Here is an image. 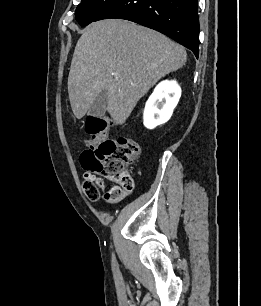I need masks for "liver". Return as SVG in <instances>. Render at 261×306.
I'll return each instance as SVG.
<instances>
[{"mask_svg": "<svg viewBox=\"0 0 261 306\" xmlns=\"http://www.w3.org/2000/svg\"><path fill=\"white\" fill-rule=\"evenodd\" d=\"M186 59L184 47L155 30L122 19L94 22L79 38L71 62L67 85L72 111L83 118L106 89L107 111L123 124L140 98Z\"/></svg>", "mask_w": 261, "mask_h": 306, "instance_id": "1", "label": "liver"}]
</instances>
